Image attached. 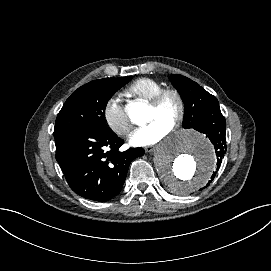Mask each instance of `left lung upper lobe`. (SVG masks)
<instances>
[{"label":"left lung upper lobe","mask_w":271,"mask_h":271,"mask_svg":"<svg viewBox=\"0 0 271 271\" xmlns=\"http://www.w3.org/2000/svg\"><path fill=\"white\" fill-rule=\"evenodd\" d=\"M170 81L179 91L185 106L184 128H194L215 110H220L219 102L215 96L209 94L204 88L191 79L173 74Z\"/></svg>","instance_id":"left-lung-upper-lobe-1"}]
</instances>
